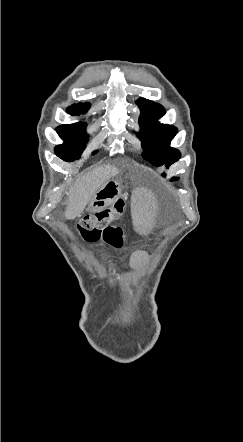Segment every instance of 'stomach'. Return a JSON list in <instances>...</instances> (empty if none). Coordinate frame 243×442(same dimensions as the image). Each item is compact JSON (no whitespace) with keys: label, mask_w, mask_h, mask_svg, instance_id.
Wrapping results in <instances>:
<instances>
[{"label":"stomach","mask_w":243,"mask_h":442,"mask_svg":"<svg viewBox=\"0 0 243 442\" xmlns=\"http://www.w3.org/2000/svg\"><path fill=\"white\" fill-rule=\"evenodd\" d=\"M121 184L112 179L102 185L88 204L89 212L99 211L112 203L121 195Z\"/></svg>","instance_id":"stomach-1"}]
</instances>
